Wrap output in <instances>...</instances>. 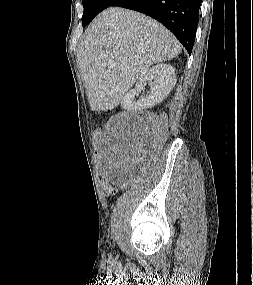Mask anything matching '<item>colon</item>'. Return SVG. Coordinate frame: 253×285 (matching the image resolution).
<instances>
[{
  "mask_svg": "<svg viewBox=\"0 0 253 285\" xmlns=\"http://www.w3.org/2000/svg\"><path fill=\"white\" fill-rule=\"evenodd\" d=\"M94 145H96L95 150L92 153V158L96 163V167H94V172L98 176L99 180H102L103 190L106 195H112L114 192L112 186L113 176H109V171H105L107 159L104 158V151L107 150V144L104 143V132L102 129H94Z\"/></svg>",
  "mask_w": 253,
  "mask_h": 285,
  "instance_id": "5ec220e1",
  "label": "colon"
}]
</instances>
